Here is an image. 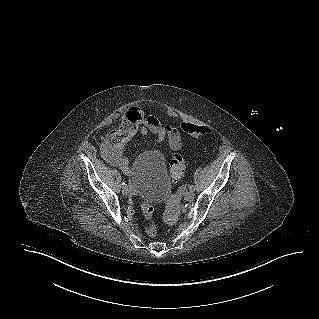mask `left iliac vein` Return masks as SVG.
Returning a JSON list of instances; mask_svg holds the SVG:
<instances>
[{
  "label": "left iliac vein",
  "instance_id": "1",
  "mask_svg": "<svg viewBox=\"0 0 319 319\" xmlns=\"http://www.w3.org/2000/svg\"><path fill=\"white\" fill-rule=\"evenodd\" d=\"M184 199L187 201H191L194 199V192L193 191H187L184 195Z\"/></svg>",
  "mask_w": 319,
  "mask_h": 319
}]
</instances>
